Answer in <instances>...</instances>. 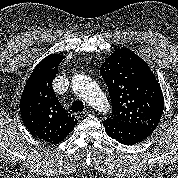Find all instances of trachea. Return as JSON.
Returning <instances> with one entry per match:
<instances>
[{
    "label": "trachea",
    "mask_w": 178,
    "mask_h": 178,
    "mask_svg": "<svg viewBox=\"0 0 178 178\" xmlns=\"http://www.w3.org/2000/svg\"><path fill=\"white\" fill-rule=\"evenodd\" d=\"M71 109H72V112H73V113L82 112L83 109H84V104H83L82 101L75 100V101L72 103Z\"/></svg>",
    "instance_id": "obj_1"
}]
</instances>
